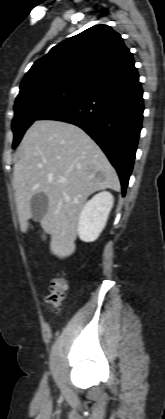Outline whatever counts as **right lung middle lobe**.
<instances>
[{
  "label": "right lung middle lobe",
  "instance_id": "obj_1",
  "mask_svg": "<svg viewBox=\"0 0 165 419\" xmlns=\"http://www.w3.org/2000/svg\"><path fill=\"white\" fill-rule=\"evenodd\" d=\"M88 92L69 87H49L39 89L16 98L12 121L14 132L13 148L20 142L27 128L48 112L73 102Z\"/></svg>",
  "mask_w": 165,
  "mask_h": 419
}]
</instances>
